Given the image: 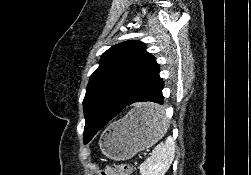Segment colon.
<instances>
[{
  "mask_svg": "<svg viewBox=\"0 0 251 175\" xmlns=\"http://www.w3.org/2000/svg\"><path fill=\"white\" fill-rule=\"evenodd\" d=\"M135 166L130 163H120L105 167L98 175H132Z\"/></svg>",
  "mask_w": 251,
  "mask_h": 175,
  "instance_id": "5ec220e1",
  "label": "colon"
}]
</instances>
